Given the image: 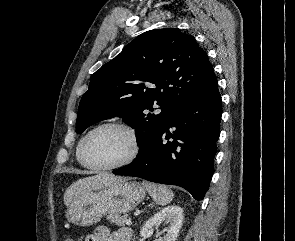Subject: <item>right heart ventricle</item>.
<instances>
[{
    "label": "right heart ventricle",
    "mask_w": 295,
    "mask_h": 241,
    "mask_svg": "<svg viewBox=\"0 0 295 241\" xmlns=\"http://www.w3.org/2000/svg\"><path fill=\"white\" fill-rule=\"evenodd\" d=\"M83 138L84 137H82L80 140H79V142H78V144H77V147H76V152H75V154H76V159L79 161V148H80V144H81V142H82V140H83ZM80 162V161H79Z\"/></svg>",
    "instance_id": "e07e8e85"
}]
</instances>
